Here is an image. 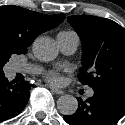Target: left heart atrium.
<instances>
[{
	"label": "left heart atrium",
	"mask_w": 125,
	"mask_h": 125,
	"mask_svg": "<svg viewBox=\"0 0 125 125\" xmlns=\"http://www.w3.org/2000/svg\"><path fill=\"white\" fill-rule=\"evenodd\" d=\"M46 80L51 84H59L62 80L59 70L51 69L45 73Z\"/></svg>",
	"instance_id": "obj_1"
}]
</instances>
